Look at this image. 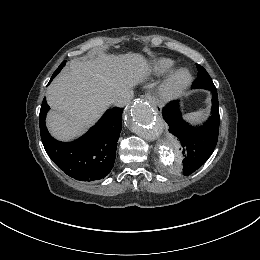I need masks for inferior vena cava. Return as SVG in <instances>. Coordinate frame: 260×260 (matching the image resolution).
I'll list each match as a JSON object with an SVG mask.
<instances>
[{
	"label": "inferior vena cava",
	"instance_id": "602c4592",
	"mask_svg": "<svg viewBox=\"0 0 260 260\" xmlns=\"http://www.w3.org/2000/svg\"><path fill=\"white\" fill-rule=\"evenodd\" d=\"M133 95L134 92L131 89L122 91L112 99V104L117 107H124L132 100Z\"/></svg>",
	"mask_w": 260,
	"mask_h": 260
}]
</instances>
